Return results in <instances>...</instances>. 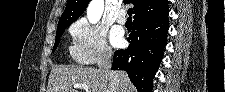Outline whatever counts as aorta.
<instances>
[{"label":"aorta","instance_id":"1","mask_svg":"<svg viewBox=\"0 0 225 92\" xmlns=\"http://www.w3.org/2000/svg\"><path fill=\"white\" fill-rule=\"evenodd\" d=\"M104 10V1L103 0H92L87 8V18L90 23H97Z\"/></svg>","mask_w":225,"mask_h":92}]
</instances>
